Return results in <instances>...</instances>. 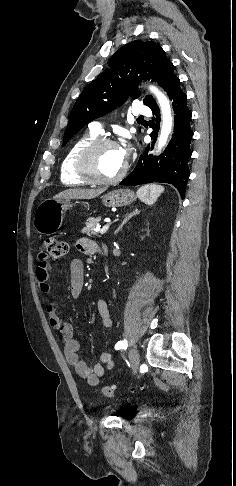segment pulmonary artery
I'll return each instance as SVG.
<instances>
[{
  "label": "pulmonary artery",
  "instance_id": "1",
  "mask_svg": "<svg viewBox=\"0 0 236 486\" xmlns=\"http://www.w3.org/2000/svg\"><path fill=\"white\" fill-rule=\"evenodd\" d=\"M150 113H151V110L143 104H137L133 108V114L136 115V116H138V115L148 116V115H150ZM89 128H90L91 131H93L95 133H102L103 132V126L99 121L91 122L90 125H89Z\"/></svg>",
  "mask_w": 236,
  "mask_h": 486
}]
</instances>
